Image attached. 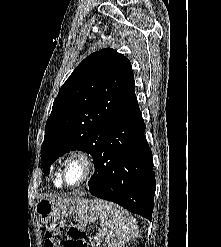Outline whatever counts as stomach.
I'll list each match as a JSON object with an SVG mask.
<instances>
[{
  "mask_svg": "<svg viewBox=\"0 0 221 247\" xmlns=\"http://www.w3.org/2000/svg\"><path fill=\"white\" fill-rule=\"evenodd\" d=\"M99 200L84 198H42L35 204V211L42 223L64 217H74L84 223H93L99 217Z\"/></svg>",
  "mask_w": 221,
  "mask_h": 247,
  "instance_id": "stomach-1",
  "label": "stomach"
}]
</instances>
